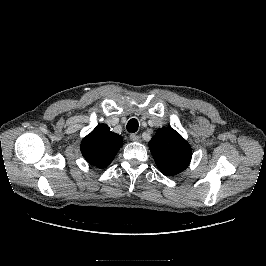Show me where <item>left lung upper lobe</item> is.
<instances>
[{
    "mask_svg": "<svg viewBox=\"0 0 266 266\" xmlns=\"http://www.w3.org/2000/svg\"><path fill=\"white\" fill-rule=\"evenodd\" d=\"M149 148L157 167L165 175L173 176L184 171L192 157L188 142L171 127L158 129Z\"/></svg>",
    "mask_w": 266,
    "mask_h": 266,
    "instance_id": "1",
    "label": "left lung upper lobe"
}]
</instances>
